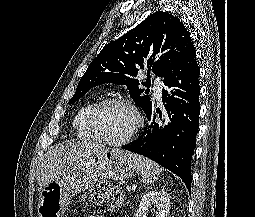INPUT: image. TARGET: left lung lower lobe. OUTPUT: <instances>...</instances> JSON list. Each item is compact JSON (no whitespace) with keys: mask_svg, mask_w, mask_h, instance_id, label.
<instances>
[{"mask_svg":"<svg viewBox=\"0 0 255 217\" xmlns=\"http://www.w3.org/2000/svg\"><path fill=\"white\" fill-rule=\"evenodd\" d=\"M199 74L196 50L192 46L178 65L163 77L162 101L166 120L155 122L152 109L146 115L151 124L133 143L122 148L141 154L179 176L191 190V160L199 128Z\"/></svg>","mask_w":255,"mask_h":217,"instance_id":"0a47b994","label":"left lung lower lobe"}]
</instances>
